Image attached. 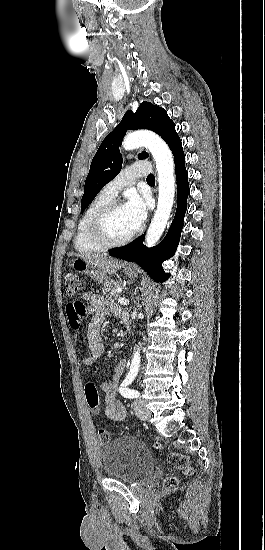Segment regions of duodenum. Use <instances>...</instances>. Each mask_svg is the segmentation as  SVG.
Instances as JSON below:
<instances>
[{
  "mask_svg": "<svg viewBox=\"0 0 265 550\" xmlns=\"http://www.w3.org/2000/svg\"><path fill=\"white\" fill-rule=\"evenodd\" d=\"M126 328H127V329H129V326H128V324L126 325Z\"/></svg>",
  "mask_w": 265,
  "mask_h": 550,
  "instance_id": "410a0bca",
  "label": "duodenum"
}]
</instances>
